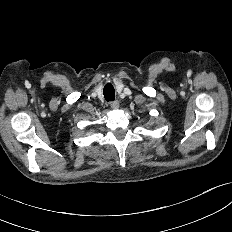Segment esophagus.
Returning a JSON list of instances; mask_svg holds the SVG:
<instances>
[{"mask_svg": "<svg viewBox=\"0 0 232 232\" xmlns=\"http://www.w3.org/2000/svg\"><path fill=\"white\" fill-rule=\"evenodd\" d=\"M110 106H111L112 109L119 108V101H117V100L111 101Z\"/></svg>", "mask_w": 232, "mask_h": 232, "instance_id": "1", "label": "esophagus"}]
</instances>
